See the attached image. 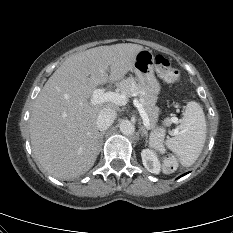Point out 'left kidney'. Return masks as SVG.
Here are the masks:
<instances>
[{"label": "left kidney", "instance_id": "1", "mask_svg": "<svg viewBox=\"0 0 233 233\" xmlns=\"http://www.w3.org/2000/svg\"><path fill=\"white\" fill-rule=\"evenodd\" d=\"M144 167L151 173L159 174L161 164L157 154L151 149H143L141 152Z\"/></svg>", "mask_w": 233, "mask_h": 233}]
</instances>
